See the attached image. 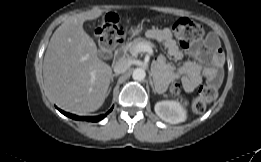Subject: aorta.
<instances>
[{
	"mask_svg": "<svg viewBox=\"0 0 261 162\" xmlns=\"http://www.w3.org/2000/svg\"><path fill=\"white\" fill-rule=\"evenodd\" d=\"M146 76V72L144 69L142 68H136L134 71H133V74H132V78L134 80H137V81H142L144 80Z\"/></svg>",
	"mask_w": 261,
	"mask_h": 162,
	"instance_id": "1",
	"label": "aorta"
}]
</instances>
